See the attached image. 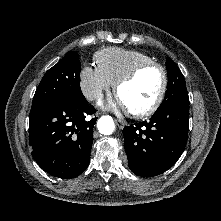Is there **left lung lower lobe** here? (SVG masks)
<instances>
[{
  "instance_id": "left-lung-lower-lobe-1",
  "label": "left lung lower lobe",
  "mask_w": 221,
  "mask_h": 221,
  "mask_svg": "<svg viewBox=\"0 0 221 221\" xmlns=\"http://www.w3.org/2000/svg\"><path fill=\"white\" fill-rule=\"evenodd\" d=\"M189 125V98L157 110L149 121L123 129L129 168L142 177L162 174L183 153Z\"/></svg>"
}]
</instances>
